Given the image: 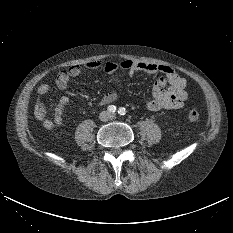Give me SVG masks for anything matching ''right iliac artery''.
Wrapping results in <instances>:
<instances>
[{"label":"right iliac artery","mask_w":233,"mask_h":233,"mask_svg":"<svg viewBox=\"0 0 233 233\" xmlns=\"http://www.w3.org/2000/svg\"><path fill=\"white\" fill-rule=\"evenodd\" d=\"M107 110H108L110 113H114V112H116V106H114V105H109V106L107 107Z\"/></svg>","instance_id":"right-iliac-artery-1"}]
</instances>
